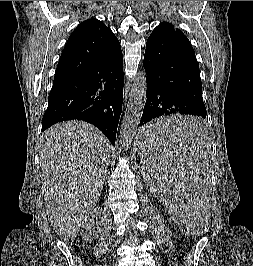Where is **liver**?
Segmentation results:
<instances>
[{"mask_svg":"<svg viewBox=\"0 0 253 266\" xmlns=\"http://www.w3.org/2000/svg\"><path fill=\"white\" fill-rule=\"evenodd\" d=\"M109 161L108 140L89 123L68 121L44 133L40 167L47 188L45 207L65 241L75 240L98 202Z\"/></svg>","mask_w":253,"mask_h":266,"instance_id":"1","label":"liver"}]
</instances>
